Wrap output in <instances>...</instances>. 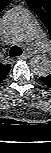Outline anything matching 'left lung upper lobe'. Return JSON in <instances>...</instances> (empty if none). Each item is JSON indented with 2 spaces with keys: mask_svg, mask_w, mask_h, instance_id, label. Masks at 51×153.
I'll return each mask as SVG.
<instances>
[{
  "mask_svg": "<svg viewBox=\"0 0 51 153\" xmlns=\"http://www.w3.org/2000/svg\"><path fill=\"white\" fill-rule=\"evenodd\" d=\"M28 6L38 15L51 36V0H26ZM51 76V74L49 75Z\"/></svg>",
  "mask_w": 51,
  "mask_h": 153,
  "instance_id": "1",
  "label": "left lung upper lobe"
}]
</instances>
